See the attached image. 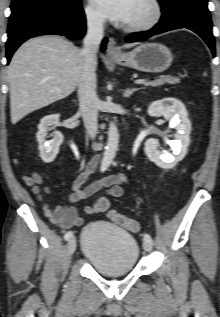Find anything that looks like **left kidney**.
Here are the masks:
<instances>
[{"instance_id": "obj_1", "label": "left kidney", "mask_w": 220, "mask_h": 317, "mask_svg": "<svg viewBox=\"0 0 220 317\" xmlns=\"http://www.w3.org/2000/svg\"><path fill=\"white\" fill-rule=\"evenodd\" d=\"M147 113L150 116H164L170 120V127L177 130L174 140L170 142L173 154L158 151V143L153 138L146 141L144 148L147 157L157 166L164 169L172 168L184 158L190 144L191 122L188 119L186 108L181 101L175 98H164L151 103Z\"/></svg>"}]
</instances>
